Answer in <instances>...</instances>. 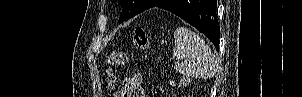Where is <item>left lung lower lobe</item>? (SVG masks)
<instances>
[{"instance_id": "obj_1", "label": "left lung lower lobe", "mask_w": 302, "mask_h": 97, "mask_svg": "<svg viewBox=\"0 0 302 97\" xmlns=\"http://www.w3.org/2000/svg\"><path fill=\"white\" fill-rule=\"evenodd\" d=\"M216 0H155L151 7L166 9L197 28L219 47ZM150 7V8H151Z\"/></svg>"}]
</instances>
